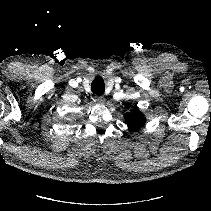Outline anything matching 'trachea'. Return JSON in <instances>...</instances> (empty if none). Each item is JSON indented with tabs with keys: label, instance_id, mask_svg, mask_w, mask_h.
<instances>
[{
	"label": "trachea",
	"instance_id": "obj_1",
	"mask_svg": "<svg viewBox=\"0 0 211 211\" xmlns=\"http://www.w3.org/2000/svg\"><path fill=\"white\" fill-rule=\"evenodd\" d=\"M91 90L94 94L102 95L105 91V83L101 76H97L92 84H91Z\"/></svg>",
	"mask_w": 211,
	"mask_h": 211
}]
</instances>
